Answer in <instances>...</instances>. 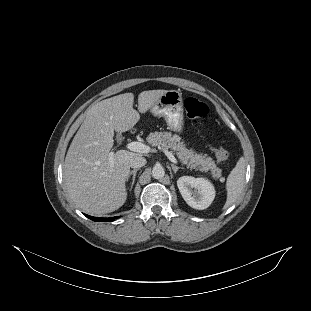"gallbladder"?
Wrapping results in <instances>:
<instances>
[{
	"label": "gallbladder",
	"mask_w": 311,
	"mask_h": 311,
	"mask_svg": "<svg viewBox=\"0 0 311 311\" xmlns=\"http://www.w3.org/2000/svg\"><path fill=\"white\" fill-rule=\"evenodd\" d=\"M116 139L118 142H120L122 140V135L121 134H117Z\"/></svg>",
	"instance_id": "1"
}]
</instances>
